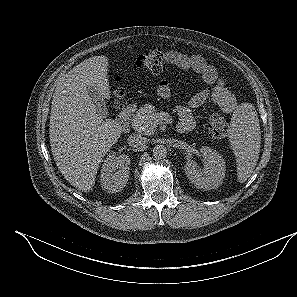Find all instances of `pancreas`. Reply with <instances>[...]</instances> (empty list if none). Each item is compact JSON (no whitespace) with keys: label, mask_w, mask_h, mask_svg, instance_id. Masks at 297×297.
Here are the masks:
<instances>
[{"label":"pancreas","mask_w":297,"mask_h":297,"mask_svg":"<svg viewBox=\"0 0 297 297\" xmlns=\"http://www.w3.org/2000/svg\"><path fill=\"white\" fill-rule=\"evenodd\" d=\"M159 114L155 112L154 106L150 104L143 105L132 119V127L145 135L155 133L158 126Z\"/></svg>","instance_id":"pancreas-1"}]
</instances>
